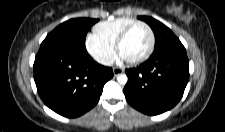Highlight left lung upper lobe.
I'll use <instances>...</instances> for the list:
<instances>
[{"instance_id": "left-lung-upper-lobe-1", "label": "left lung upper lobe", "mask_w": 225, "mask_h": 132, "mask_svg": "<svg viewBox=\"0 0 225 132\" xmlns=\"http://www.w3.org/2000/svg\"><path fill=\"white\" fill-rule=\"evenodd\" d=\"M138 18L147 22L155 34V49L151 57L172 49L184 47L180 40L163 23L152 17L139 16Z\"/></svg>"}]
</instances>
